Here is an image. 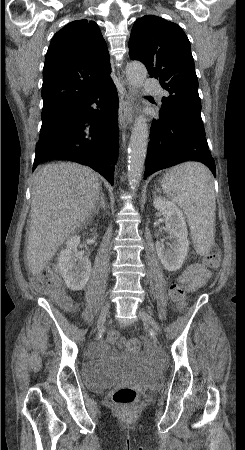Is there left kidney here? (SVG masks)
<instances>
[{"label":"left kidney","mask_w":245,"mask_h":450,"mask_svg":"<svg viewBox=\"0 0 245 450\" xmlns=\"http://www.w3.org/2000/svg\"><path fill=\"white\" fill-rule=\"evenodd\" d=\"M153 206L165 217V225L171 238L167 248L163 240L156 242L158 258L165 269L177 271L182 267L190 244L185 218L174 203L164 198L155 197Z\"/></svg>","instance_id":"5707ae66"}]
</instances>
